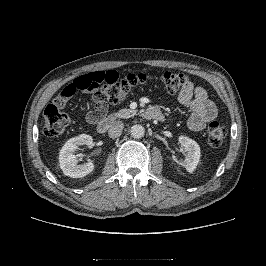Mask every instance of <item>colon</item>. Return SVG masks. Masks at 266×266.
<instances>
[{"instance_id": "obj_1", "label": "colon", "mask_w": 266, "mask_h": 266, "mask_svg": "<svg viewBox=\"0 0 266 266\" xmlns=\"http://www.w3.org/2000/svg\"><path fill=\"white\" fill-rule=\"evenodd\" d=\"M157 77L152 73H131L121 76L118 72L102 71L92 72L75 78L49 104L44 112V133L49 137L62 134L68 126V116L60 109L67 101L79 91H91L100 89L103 98L117 104L125 100L127 95L136 88L154 81ZM165 91L174 94L188 82L185 74L175 71H165L159 77ZM208 143L213 147H219L225 137L226 129L218 122H211L207 131Z\"/></svg>"}]
</instances>
